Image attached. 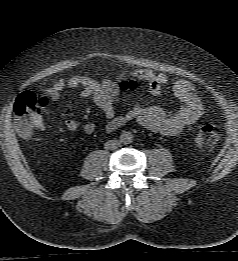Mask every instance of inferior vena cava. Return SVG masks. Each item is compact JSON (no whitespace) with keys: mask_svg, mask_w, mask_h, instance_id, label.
<instances>
[{"mask_svg":"<svg viewBox=\"0 0 238 261\" xmlns=\"http://www.w3.org/2000/svg\"><path fill=\"white\" fill-rule=\"evenodd\" d=\"M120 146V142L118 140H108L105 143V149L107 150H115Z\"/></svg>","mask_w":238,"mask_h":261,"instance_id":"602c4592","label":"inferior vena cava"}]
</instances>
